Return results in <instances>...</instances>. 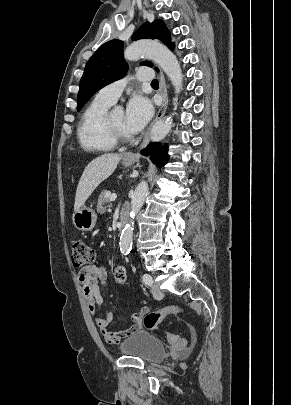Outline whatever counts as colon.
<instances>
[{
	"instance_id": "colon-1",
	"label": "colon",
	"mask_w": 291,
	"mask_h": 405,
	"mask_svg": "<svg viewBox=\"0 0 291 405\" xmlns=\"http://www.w3.org/2000/svg\"><path fill=\"white\" fill-rule=\"evenodd\" d=\"M72 255L71 260L74 267H87L94 263L95 261V251L84 241H75L72 244ZM114 281L117 284H124L127 279L126 269L124 266H117L113 272ZM183 308L180 306H167L160 310L147 313L143 319V324L145 328L149 330H155L159 323L166 316L177 314L183 312ZM166 337L169 344L175 349H182L186 345L184 338L166 332Z\"/></svg>"
}]
</instances>
